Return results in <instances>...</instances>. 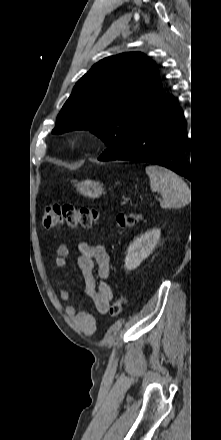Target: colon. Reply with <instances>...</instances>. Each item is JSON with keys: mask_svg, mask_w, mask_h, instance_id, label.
Here are the masks:
<instances>
[{"mask_svg": "<svg viewBox=\"0 0 221 440\" xmlns=\"http://www.w3.org/2000/svg\"><path fill=\"white\" fill-rule=\"evenodd\" d=\"M97 220L98 212L95 209L70 204L48 206L43 214V225L47 229L60 226L90 228ZM114 220L119 227L129 228L137 225L142 220V215L135 212H120L115 215ZM124 304L125 299L118 297L111 305L110 314L113 317L119 316Z\"/></svg>", "mask_w": 221, "mask_h": 440, "instance_id": "1", "label": "colon"}]
</instances>
